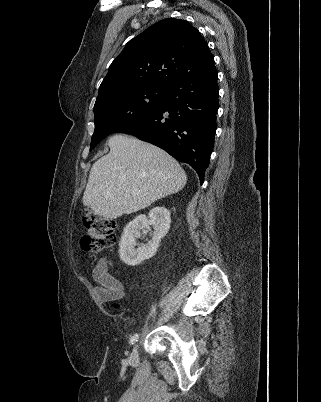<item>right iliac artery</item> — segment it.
I'll return each mask as SVG.
<instances>
[{
	"mask_svg": "<svg viewBox=\"0 0 321 402\" xmlns=\"http://www.w3.org/2000/svg\"><path fill=\"white\" fill-rule=\"evenodd\" d=\"M139 335L138 334H134L131 338H130V344L133 345L135 342L138 341Z\"/></svg>",
	"mask_w": 321,
	"mask_h": 402,
	"instance_id": "1",
	"label": "right iliac artery"
}]
</instances>
